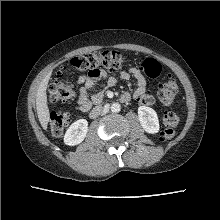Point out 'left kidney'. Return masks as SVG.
<instances>
[{"label":"left kidney","mask_w":220,"mask_h":220,"mask_svg":"<svg viewBox=\"0 0 220 220\" xmlns=\"http://www.w3.org/2000/svg\"><path fill=\"white\" fill-rule=\"evenodd\" d=\"M138 118L142 128L150 134L159 132V120L157 113L150 107L140 106L138 108Z\"/></svg>","instance_id":"5707ae66"}]
</instances>
